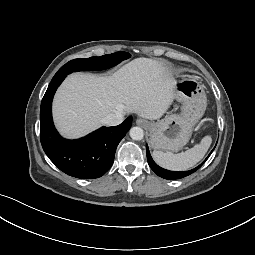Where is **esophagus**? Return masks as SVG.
Segmentation results:
<instances>
[{
    "instance_id": "obj_1",
    "label": "esophagus",
    "mask_w": 255,
    "mask_h": 255,
    "mask_svg": "<svg viewBox=\"0 0 255 255\" xmlns=\"http://www.w3.org/2000/svg\"><path fill=\"white\" fill-rule=\"evenodd\" d=\"M136 123H137V125H139V126H146V125H147V121L144 120V119H142V118H138V119L136 120Z\"/></svg>"
}]
</instances>
